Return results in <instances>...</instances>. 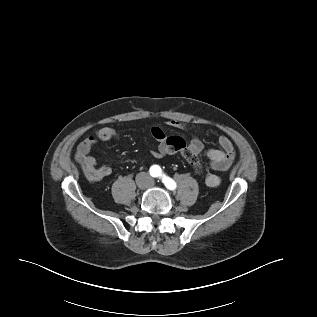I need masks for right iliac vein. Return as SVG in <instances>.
<instances>
[{
    "mask_svg": "<svg viewBox=\"0 0 317 317\" xmlns=\"http://www.w3.org/2000/svg\"><path fill=\"white\" fill-rule=\"evenodd\" d=\"M137 185H138V188L139 189H145L146 185H147V181H146V178L141 176L138 178L137 180Z\"/></svg>",
    "mask_w": 317,
    "mask_h": 317,
    "instance_id": "right-iliac-vein-1",
    "label": "right iliac vein"
}]
</instances>
